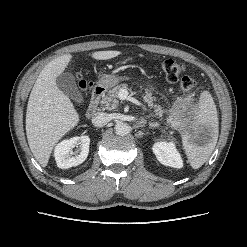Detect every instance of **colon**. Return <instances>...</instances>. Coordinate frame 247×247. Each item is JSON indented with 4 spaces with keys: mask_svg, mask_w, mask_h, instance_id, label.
Instances as JSON below:
<instances>
[{
    "mask_svg": "<svg viewBox=\"0 0 247 247\" xmlns=\"http://www.w3.org/2000/svg\"><path fill=\"white\" fill-rule=\"evenodd\" d=\"M160 68L169 82L175 83L179 81L180 89L183 93H189L193 90L194 80L189 76H182L186 70L182 62L166 59L161 63ZM80 86L82 89H87L90 85L85 81H81Z\"/></svg>",
    "mask_w": 247,
    "mask_h": 247,
    "instance_id": "5ec220e1",
    "label": "colon"
}]
</instances>
